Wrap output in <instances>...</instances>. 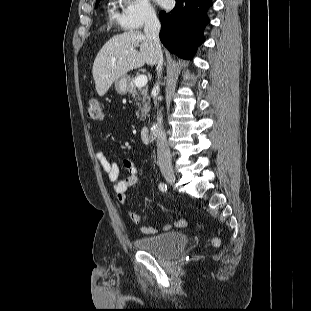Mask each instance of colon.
I'll list each match as a JSON object with an SVG mask.
<instances>
[{"instance_id":"colon-1","label":"colon","mask_w":311,"mask_h":311,"mask_svg":"<svg viewBox=\"0 0 311 311\" xmlns=\"http://www.w3.org/2000/svg\"><path fill=\"white\" fill-rule=\"evenodd\" d=\"M86 116H87V119L90 121L103 120V117H104L103 107L99 99L93 98L89 100ZM213 244L218 245L219 240L217 238L213 239Z\"/></svg>"}]
</instances>
